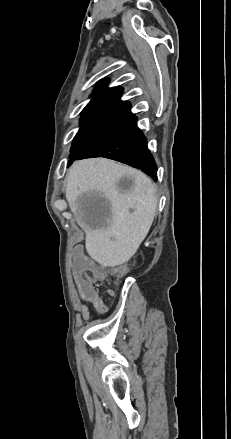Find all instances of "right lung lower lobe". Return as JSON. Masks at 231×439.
<instances>
[{
	"label": "right lung lower lobe",
	"instance_id": "right-lung-lower-lobe-1",
	"mask_svg": "<svg viewBox=\"0 0 231 439\" xmlns=\"http://www.w3.org/2000/svg\"><path fill=\"white\" fill-rule=\"evenodd\" d=\"M92 157H105L125 163L142 170L157 180L155 160L147 147L145 136L137 127V117L135 116L120 124L77 160Z\"/></svg>",
	"mask_w": 231,
	"mask_h": 439
}]
</instances>
